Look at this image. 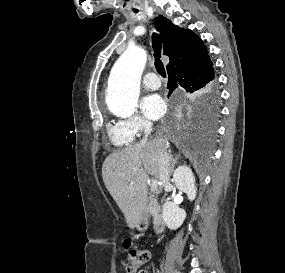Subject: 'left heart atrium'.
I'll list each match as a JSON object with an SVG mask.
<instances>
[{
	"instance_id": "1",
	"label": "left heart atrium",
	"mask_w": 285,
	"mask_h": 273,
	"mask_svg": "<svg viewBox=\"0 0 285 273\" xmlns=\"http://www.w3.org/2000/svg\"><path fill=\"white\" fill-rule=\"evenodd\" d=\"M165 109L164 101L157 94L149 95L141 101V110L149 119H159L164 114Z\"/></svg>"
}]
</instances>
